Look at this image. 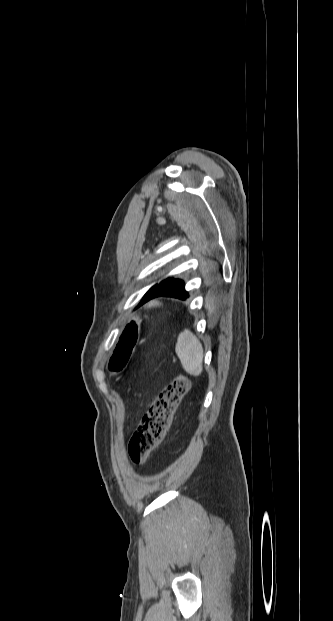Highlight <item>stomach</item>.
I'll return each instance as SVG.
<instances>
[{
  "instance_id": "0dacf381",
  "label": "stomach",
  "mask_w": 333,
  "mask_h": 621,
  "mask_svg": "<svg viewBox=\"0 0 333 621\" xmlns=\"http://www.w3.org/2000/svg\"><path fill=\"white\" fill-rule=\"evenodd\" d=\"M158 305L157 302L153 306ZM138 317V322H139ZM137 327L134 322L127 325L124 333L118 337L113 345V350L110 353L109 359V372L112 375H119L122 369L127 367L132 359V354L136 348Z\"/></svg>"
}]
</instances>
